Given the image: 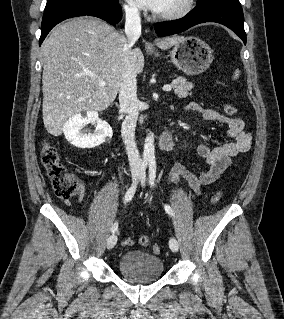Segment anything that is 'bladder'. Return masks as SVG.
<instances>
[{"label": "bladder", "mask_w": 284, "mask_h": 319, "mask_svg": "<svg viewBox=\"0 0 284 319\" xmlns=\"http://www.w3.org/2000/svg\"><path fill=\"white\" fill-rule=\"evenodd\" d=\"M120 273L132 282H151L163 274L164 264L160 257L138 250L123 253L118 262Z\"/></svg>", "instance_id": "1"}]
</instances>
